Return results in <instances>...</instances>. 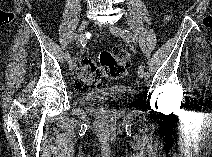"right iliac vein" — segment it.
I'll return each mask as SVG.
<instances>
[{"label": "right iliac vein", "mask_w": 212, "mask_h": 157, "mask_svg": "<svg viewBox=\"0 0 212 157\" xmlns=\"http://www.w3.org/2000/svg\"><path fill=\"white\" fill-rule=\"evenodd\" d=\"M88 26V21H82L80 27H79V31L76 34V40L77 42H80L82 40V32L85 30V28ZM76 67V60L75 58L73 60H71V62L69 63V69L72 71L74 70Z\"/></svg>", "instance_id": "right-iliac-vein-1"}]
</instances>
